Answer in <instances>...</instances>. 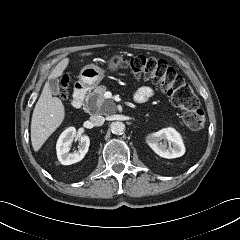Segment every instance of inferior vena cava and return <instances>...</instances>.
Returning a JSON list of instances; mask_svg holds the SVG:
<instances>
[{
    "label": "inferior vena cava",
    "mask_w": 240,
    "mask_h": 240,
    "mask_svg": "<svg viewBox=\"0 0 240 240\" xmlns=\"http://www.w3.org/2000/svg\"><path fill=\"white\" fill-rule=\"evenodd\" d=\"M90 122L94 125V126H101L104 124L105 122V118L101 115H92L90 117Z\"/></svg>",
    "instance_id": "obj_1"
}]
</instances>
